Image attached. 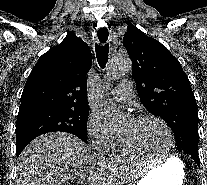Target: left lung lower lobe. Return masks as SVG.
Instances as JSON below:
<instances>
[{
	"label": "left lung lower lobe",
	"instance_id": "0a47b994",
	"mask_svg": "<svg viewBox=\"0 0 207 185\" xmlns=\"http://www.w3.org/2000/svg\"><path fill=\"white\" fill-rule=\"evenodd\" d=\"M190 155L198 165H200L199 155L198 154H188Z\"/></svg>",
	"mask_w": 207,
	"mask_h": 185
}]
</instances>
